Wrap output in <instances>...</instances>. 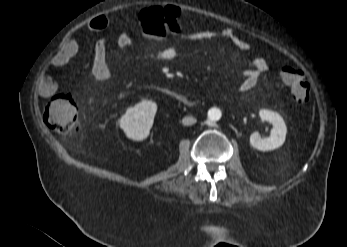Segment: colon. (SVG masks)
Listing matches in <instances>:
<instances>
[{"mask_svg":"<svg viewBox=\"0 0 347 247\" xmlns=\"http://www.w3.org/2000/svg\"><path fill=\"white\" fill-rule=\"evenodd\" d=\"M138 22L144 33L164 37L179 29L181 14L175 6L149 7L138 13ZM280 79L289 89L293 99L306 103L310 97V85L304 72L292 66L280 69ZM43 118L45 123L61 134H72L78 129V108L68 94H54L46 103Z\"/></svg>","mask_w":347,"mask_h":247,"instance_id":"colon-1","label":"colon"}]
</instances>
